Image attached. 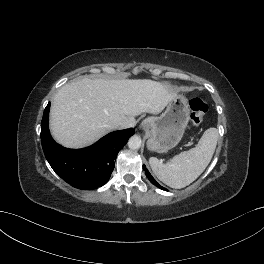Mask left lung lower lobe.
<instances>
[{"label":"left lung lower lobe","instance_id":"1","mask_svg":"<svg viewBox=\"0 0 264 264\" xmlns=\"http://www.w3.org/2000/svg\"><path fill=\"white\" fill-rule=\"evenodd\" d=\"M143 169H144V171H145V173H146L147 178L150 180V182H151L152 184H154L155 186L159 187V188L162 189V190H166L164 187L160 186V185L155 181V179L151 176L150 172L146 169V166H145V165H143Z\"/></svg>","mask_w":264,"mask_h":264}]
</instances>
